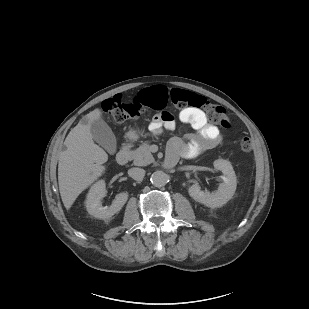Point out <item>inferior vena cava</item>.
Wrapping results in <instances>:
<instances>
[{
    "label": "inferior vena cava",
    "mask_w": 309,
    "mask_h": 309,
    "mask_svg": "<svg viewBox=\"0 0 309 309\" xmlns=\"http://www.w3.org/2000/svg\"><path fill=\"white\" fill-rule=\"evenodd\" d=\"M128 174L134 180L142 181L145 176V170L142 168L134 167L128 170Z\"/></svg>",
    "instance_id": "inferior-vena-cava-1"
}]
</instances>
